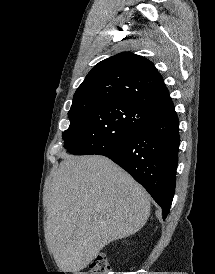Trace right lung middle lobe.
<instances>
[{
    "mask_svg": "<svg viewBox=\"0 0 215 274\" xmlns=\"http://www.w3.org/2000/svg\"><path fill=\"white\" fill-rule=\"evenodd\" d=\"M154 114L119 100L73 103L64 148L74 155L108 150L137 131Z\"/></svg>",
    "mask_w": 215,
    "mask_h": 274,
    "instance_id": "dd1d6c3e",
    "label": "right lung middle lobe"
}]
</instances>
